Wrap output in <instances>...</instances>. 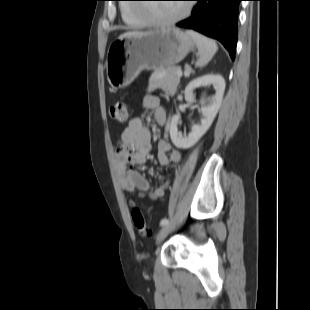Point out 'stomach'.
Wrapping results in <instances>:
<instances>
[{
	"mask_svg": "<svg viewBox=\"0 0 310 310\" xmlns=\"http://www.w3.org/2000/svg\"><path fill=\"white\" fill-rule=\"evenodd\" d=\"M194 47V40L176 28L118 38L111 43L107 52V80L114 89L126 87L142 70L172 67L182 61Z\"/></svg>",
	"mask_w": 310,
	"mask_h": 310,
	"instance_id": "stomach-1",
	"label": "stomach"
}]
</instances>
